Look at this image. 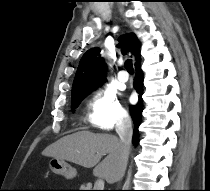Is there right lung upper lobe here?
<instances>
[{
  "label": "right lung upper lobe",
  "instance_id": "1",
  "mask_svg": "<svg viewBox=\"0 0 210 191\" xmlns=\"http://www.w3.org/2000/svg\"><path fill=\"white\" fill-rule=\"evenodd\" d=\"M122 52L139 55L140 43L134 34H126L119 38ZM106 64L100 56L99 48L89 49L82 56L72 85V99L91 92L105 81Z\"/></svg>",
  "mask_w": 210,
  "mask_h": 191
}]
</instances>
